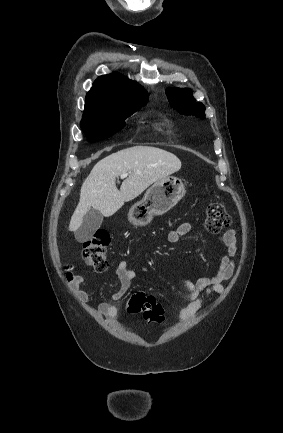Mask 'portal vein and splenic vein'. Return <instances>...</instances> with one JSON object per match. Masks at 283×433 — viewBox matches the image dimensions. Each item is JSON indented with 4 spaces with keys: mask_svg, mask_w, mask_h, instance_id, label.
Wrapping results in <instances>:
<instances>
[{
    "mask_svg": "<svg viewBox=\"0 0 283 433\" xmlns=\"http://www.w3.org/2000/svg\"><path fill=\"white\" fill-rule=\"evenodd\" d=\"M129 172H124V174H120V178H125V176H128Z\"/></svg>",
    "mask_w": 283,
    "mask_h": 433,
    "instance_id": "18ae733b",
    "label": "portal vein and splenic vein"
}]
</instances>
